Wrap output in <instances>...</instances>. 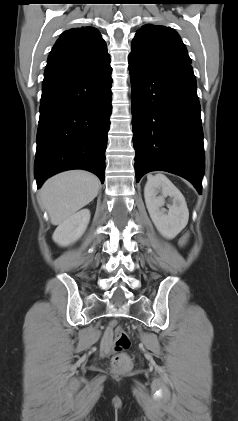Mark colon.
Here are the masks:
<instances>
[{
  "instance_id": "colon-1",
  "label": "colon",
  "mask_w": 238,
  "mask_h": 421,
  "mask_svg": "<svg viewBox=\"0 0 238 421\" xmlns=\"http://www.w3.org/2000/svg\"><path fill=\"white\" fill-rule=\"evenodd\" d=\"M186 238L182 239L185 244ZM108 333L114 343L116 354L111 359V367L118 372L126 371L131 366V359L126 354V350L130 347V338L127 332L120 326L112 324L108 329Z\"/></svg>"
}]
</instances>
